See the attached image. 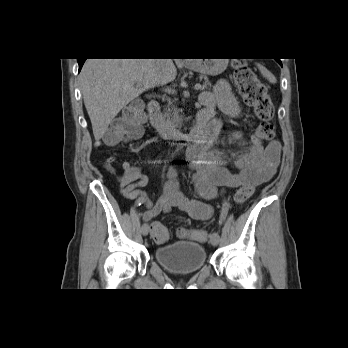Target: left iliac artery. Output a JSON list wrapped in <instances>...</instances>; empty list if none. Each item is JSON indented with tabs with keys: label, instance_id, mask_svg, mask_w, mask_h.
Instances as JSON below:
<instances>
[{
	"label": "left iliac artery",
	"instance_id": "left-iliac-artery-1",
	"mask_svg": "<svg viewBox=\"0 0 348 348\" xmlns=\"http://www.w3.org/2000/svg\"><path fill=\"white\" fill-rule=\"evenodd\" d=\"M230 209H231L230 202H225V205H223L221 216H219V223H222V221H224L227 215L231 213Z\"/></svg>",
	"mask_w": 348,
	"mask_h": 348
}]
</instances>
